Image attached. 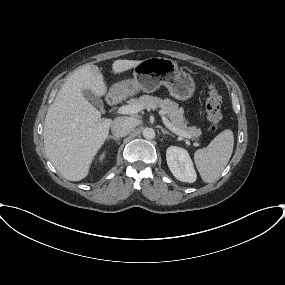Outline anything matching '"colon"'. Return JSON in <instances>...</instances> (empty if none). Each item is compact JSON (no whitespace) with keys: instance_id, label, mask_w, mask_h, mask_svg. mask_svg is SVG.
Segmentation results:
<instances>
[{"instance_id":"1","label":"colon","mask_w":285,"mask_h":285,"mask_svg":"<svg viewBox=\"0 0 285 285\" xmlns=\"http://www.w3.org/2000/svg\"><path fill=\"white\" fill-rule=\"evenodd\" d=\"M221 103L222 99L218 89L214 85L209 86V96L205 103L207 118L211 123V130L213 132L221 128Z\"/></svg>"}]
</instances>
